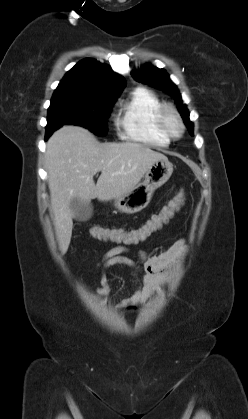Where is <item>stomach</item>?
<instances>
[{
	"mask_svg": "<svg viewBox=\"0 0 248 419\" xmlns=\"http://www.w3.org/2000/svg\"><path fill=\"white\" fill-rule=\"evenodd\" d=\"M172 172L173 165L168 159L156 160L147 170L143 182L115 198V208L126 214L143 210L150 203L154 191L170 178Z\"/></svg>",
	"mask_w": 248,
	"mask_h": 419,
	"instance_id": "stomach-1",
	"label": "stomach"
}]
</instances>
